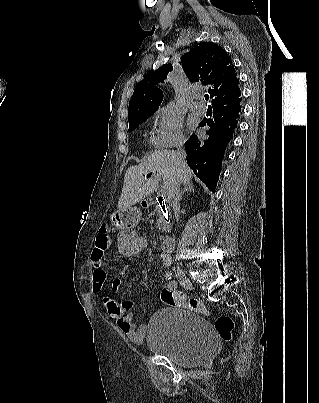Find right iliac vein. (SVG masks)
<instances>
[{"label": "right iliac vein", "instance_id": "right-iliac-vein-1", "mask_svg": "<svg viewBox=\"0 0 319 403\" xmlns=\"http://www.w3.org/2000/svg\"><path fill=\"white\" fill-rule=\"evenodd\" d=\"M174 273L179 281V283L185 288V289H192V283L191 281L187 278L183 270L179 266L174 267Z\"/></svg>", "mask_w": 319, "mask_h": 403}]
</instances>
